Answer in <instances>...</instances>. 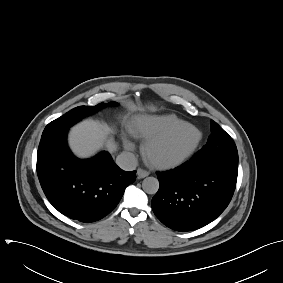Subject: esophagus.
<instances>
[{
	"label": "esophagus",
	"instance_id": "1",
	"mask_svg": "<svg viewBox=\"0 0 283 283\" xmlns=\"http://www.w3.org/2000/svg\"><path fill=\"white\" fill-rule=\"evenodd\" d=\"M149 174H150V172L147 171V170H144V169H141V168H139V169L137 170V178H138V179L145 178V177H147Z\"/></svg>",
	"mask_w": 283,
	"mask_h": 283
}]
</instances>
